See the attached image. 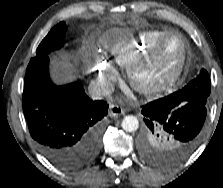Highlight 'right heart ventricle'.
<instances>
[{"label": "right heart ventricle", "mask_w": 223, "mask_h": 188, "mask_svg": "<svg viewBox=\"0 0 223 188\" xmlns=\"http://www.w3.org/2000/svg\"><path fill=\"white\" fill-rule=\"evenodd\" d=\"M168 31L150 29L136 35L131 44L107 45V55L111 62L122 67H129L150 51Z\"/></svg>", "instance_id": "e07e8e85"}]
</instances>
